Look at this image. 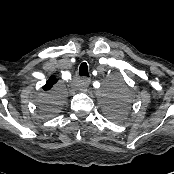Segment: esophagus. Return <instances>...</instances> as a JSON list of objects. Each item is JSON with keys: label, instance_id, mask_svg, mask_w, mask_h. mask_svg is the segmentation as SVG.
Returning a JSON list of instances; mask_svg holds the SVG:
<instances>
[{"label": "esophagus", "instance_id": "34e87169", "mask_svg": "<svg viewBox=\"0 0 174 174\" xmlns=\"http://www.w3.org/2000/svg\"><path fill=\"white\" fill-rule=\"evenodd\" d=\"M90 82H91L90 78H88V77H83V78L81 79V86H82L83 88H87V87L89 86Z\"/></svg>", "mask_w": 174, "mask_h": 174}]
</instances>
